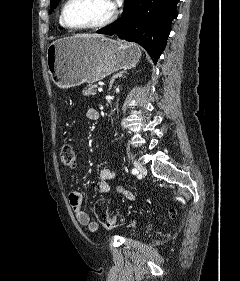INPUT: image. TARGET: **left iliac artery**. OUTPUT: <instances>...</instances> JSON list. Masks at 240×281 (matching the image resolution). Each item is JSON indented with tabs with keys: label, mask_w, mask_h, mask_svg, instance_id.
Here are the masks:
<instances>
[{
	"label": "left iliac artery",
	"mask_w": 240,
	"mask_h": 281,
	"mask_svg": "<svg viewBox=\"0 0 240 281\" xmlns=\"http://www.w3.org/2000/svg\"><path fill=\"white\" fill-rule=\"evenodd\" d=\"M132 174H134V175L138 174V170L136 168H133L132 169Z\"/></svg>",
	"instance_id": "obj_1"
}]
</instances>
